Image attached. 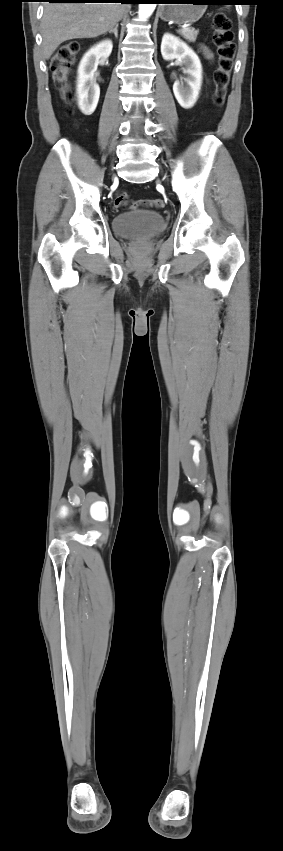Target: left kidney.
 I'll list each match as a JSON object with an SVG mask.
<instances>
[{"instance_id":"left-kidney-1","label":"left kidney","mask_w":283,"mask_h":851,"mask_svg":"<svg viewBox=\"0 0 283 851\" xmlns=\"http://www.w3.org/2000/svg\"><path fill=\"white\" fill-rule=\"evenodd\" d=\"M161 54L164 60L176 59L187 77L175 81L173 92L181 107L190 109L196 103L202 85V65L197 54L172 34L163 35Z\"/></svg>"}]
</instances>
